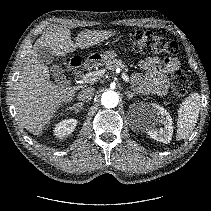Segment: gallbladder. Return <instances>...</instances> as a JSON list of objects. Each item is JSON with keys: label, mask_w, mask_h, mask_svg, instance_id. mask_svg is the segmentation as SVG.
I'll list each match as a JSON object with an SVG mask.
<instances>
[{"label": "gallbladder", "mask_w": 211, "mask_h": 211, "mask_svg": "<svg viewBox=\"0 0 211 211\" xmlns=\"http://www.w3.org/2000/svg\"><path fill=\"white\" fill-rule=\"evenodd\" d=\"M37 55L40 62L49 66L50 72L57 82L64 83L66 81L63 69L54 63V56L49 48L44 46L38 47Z\"/></svg>", "instance_id": "bac80fb5"}]
</instances>
